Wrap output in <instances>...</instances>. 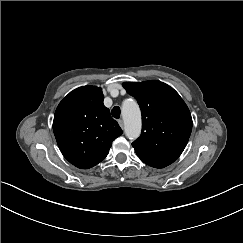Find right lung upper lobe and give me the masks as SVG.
Masks as SVG:
<instances>
[{"label":"right lung upper lobe","instance_id":"right-lung-upper-lobe-1","mask_svg":"<svg viewBox=\"0 0 243 243\" xmlns=\"http://www.w3.org/2000/svg\"><path fill=\"white\" fill-rule=\"evenodd\" d=\"M103 99L100 87L83 86L70 92L56 109L53 131L57 144L78 168L88 169L101 162L122 134Z\"/></svg>","mask_w":243,"mask_h":243}]
</instances>
